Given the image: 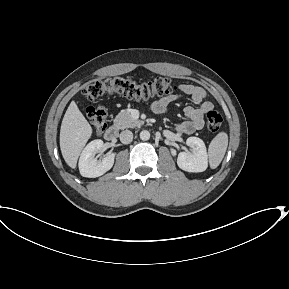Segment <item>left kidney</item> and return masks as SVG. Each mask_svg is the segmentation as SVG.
I'll return each mask as SVG.
<instances>
[{
    "mask_svg": "<svg viewBox=\"0 0 289 289\" xmlns=\"http://www.w3.org/2000/svg\"><path fill=\"white\" fill-rule=\"evenodd\" d=\"M191 152H180L177 158L179 168L187 172H203L208 167V155L205 143L198 137H189L186 140ZM175 155V152L172 151Z\"/></svg>",
    "mask_w": 289,
    "mask_h": 289,
    "instance_id": "obj_1",
    "label": "left kidney"
}]
</instances>
